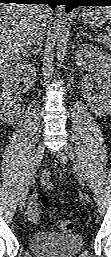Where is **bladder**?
<instances>
[{"label": "bladder", "mask_w": 111, "mask_h": 257, "mask_svg": "<svg viewBox=\"0 0 111 257\" xmlns=\"http://www.w3.org/2000/svg\"><path fill=\"white\" fill-rule=\"evenodd\" d=\"M29 246L39 257H74L83 247V237L76 233H34Z\"/></svg>", "instance_id": "1"}]
</instances>
